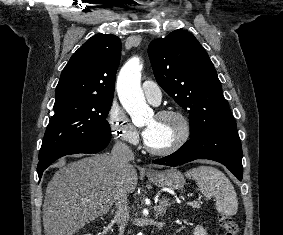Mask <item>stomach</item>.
<instances>
[{
	"label": "stomach",
	"instance_id": "0dacf381",
	"mask_svg": "<svg viewBox=\"0 0 283 235\" xmlns=\"http://www.w3.org/2000/svg\"><path fill=\"white\" fill-rule=\"evenodd\" d=\"M147 178L155 185L171 190H180L185 184V178L176 168L147 173Z\"/></svg>",
	"mask_w": 283,
	"mask_h": 235
}]
</instances>
